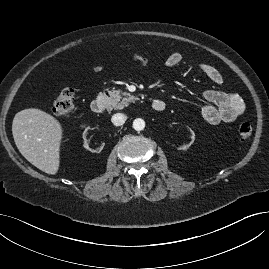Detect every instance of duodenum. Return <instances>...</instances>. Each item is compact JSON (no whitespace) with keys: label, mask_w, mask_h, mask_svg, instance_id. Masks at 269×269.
I'll use <instances>...</instances> for the list:
<instances>
[{"label":"duodenum","mask_w":269,"mask_h":269,"mask_svg":"<svg viewBox=\"0 0 269 269\" xmlns=\"http://www.w3.org/2000/svg\"><path fill=\"white\" fill-rule=\"evenodd\" d=\"M107 99L105 96H99L95 98L91 103V110L96 113L100 114L104 111L106 107ZM166 108V103L164 100H154L152 102V109L155 112H163Z\"/></svg>","instance_id":"obj_1"}]
</instances>
